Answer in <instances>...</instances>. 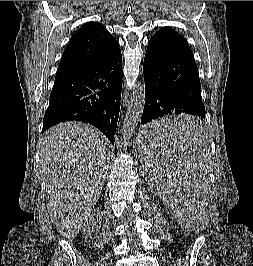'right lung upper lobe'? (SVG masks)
<instances>
[{
  "label": "right lung upper lobe",
  "instance_id": "cb5924a9",
  "mask_svg": "<svg viewBox=\"0 0 253 266\" xmlns=\"http://www.w3.org/2000/svg\"><path fill=\"white\" fill-rule=\"evenodd\" d=\"M120 51L117 40L100 23L88 22L72 36L55 80L103 62Z\"/></svg>",
  "mask_w": 253,
  "mask_h": 266
}]
</instances>
